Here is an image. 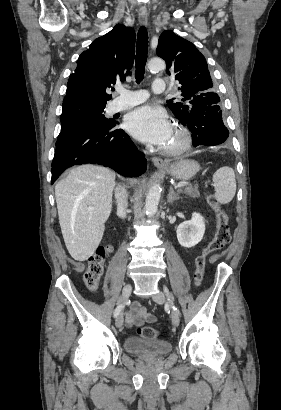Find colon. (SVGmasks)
Masks as SVG:
<instances>
[{
    "label": "colon",
    "instance_id": "colon-1",
    "mask_svg": "<svg viewBox=\"0 0 281 410\" xmlns=\"http://www.w3.org/2000/svg\"><path fill=\"white\" fill-rule=\"evenodd\" d=\"M207 200L210 207L217 215V231L214 238L209 242L207 247L196 259L195 282L200 285L204 277V269L207 257L223 249L230 241L229 219L227 214L221 209L217 197L207 192ZM112 251L110 246H100L96 252L89 258L88 267L84 274V281L88 289L96 291L100 284V279L104 271V262L109 253ZM139 334L145 339H157L161 332L153 327H142Z\"/></svg>",
    "mask_w": 281,
    "mask_h": 410
}]
</instances>
